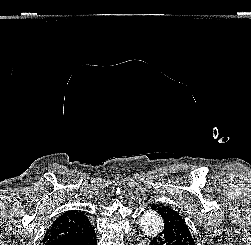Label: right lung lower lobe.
Instances as JSON below:
<instances>
[{
    "label": "right lung lower lobe",
    "mask_w": 251,
    "mask_h": 245,
    "mask_svg": "<svg viewBox=\"0 0 251 245\" xmlns=\"http://www.w3.org/2000/svg\"><path fill=\"white\" fill-rule=\"evenodd\" d=\"M45 245H96L95 231L79 238H69L59 241L48 242Z\"/></svg>",
    "instance_id": "1"
}]
</instances>
